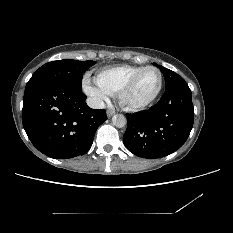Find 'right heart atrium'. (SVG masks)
<instances>
[{"mask_svg":"<svg viewBox=\"0 0 233 233\" xmlns=\"http://www.w3.org/2000/svg\"><path fill=\"white\" fill-rule=\"evenodd\" d=\"M83 89L97 105H101L108 100V94L104 92L98 85L92 83L89 77L84 78Z\"/></svg>","mask_w":233,"mask_h":233,"instance_id":"1","label":"right heart atrium"}]
</instances>
